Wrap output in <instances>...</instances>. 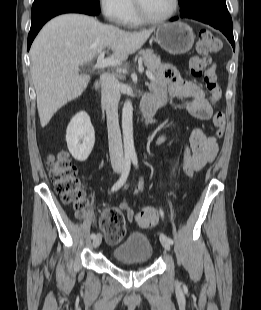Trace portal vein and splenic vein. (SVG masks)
Wrapping results in <instances>:
<instances>
[{"mask_svg":"<svg viewBox=\"0 0 261 310\" xmlns=\"http://www.w3.org/2000/svg\"><path fill=\"white\" fill-rule=\"evenodd\" d=\"M104 56H105V53L101 51L98 56L97 63L94 65V68H104L107 66H120L122 64V62L117 58H113V57L104 58ZM146 75L149 80L151 81L154 80V76L152 75L150 71H146Z\"/></svg>","mask_w":261,"mask_h":310,"instance_id":"18ae733b","label":"portal vein and splenic vein"}]
</instances>
